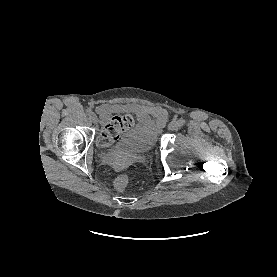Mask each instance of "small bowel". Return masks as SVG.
<instances>
[{
    "instance_id": "obj_1",
    "label": "small bowel",
    "mask_w": 277,
    "mask_h": 277,
    "mask_svg": "<svg viewBox=\"0 0 277 277\" xmlns=\"http://www.w3.org/2000/svg\"><path fill=\"white\" fill-rule=\"evenodd\" d=\"M126 108L129 111L139 114L142 118L153 116L158 126H162L168 119L167 112L161 107H149L144 105H128Z\"/></svg>"
}]
</instances>
